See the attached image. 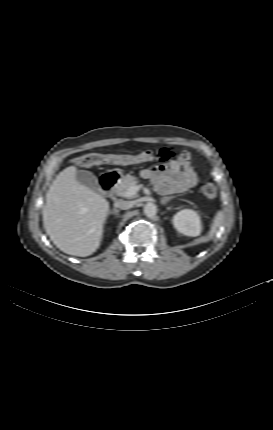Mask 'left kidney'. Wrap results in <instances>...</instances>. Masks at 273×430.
Wrapping results in <instances>:
<instances>
[{
    "mask_svg": "<svg viewBox=\"0 0 273 430\" xmlns=\"http://www.w3.org/2000/svg\"><path fill=\"white\" fill-rule=\"evenodd\" d=\"M173 225L176 230L186 236L196 237L202 231V221L198 212L192 209L179 211L173 217Z\"/></svg>",
    "mask_w": 273,
    "mask_h": 430,
    "instance_id": "1",
    "label": "left kidney"
}]
</instances>
